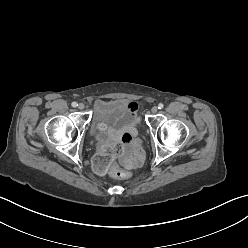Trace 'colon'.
<instances>
[{"label":"colon","mask_w":248,"mask_h":248,"mask_svg":"<svg viewBox=\"0 0 248 248\" xmlns=\"http://www.w3.org/2000/svg\"><path fill=\"white\" fill-rule=\"evenodd\" d=\"M95 132L98 135L97 141L100 144L101 153L96 154L91 159V164L97 174L106 177L109 174L117 179H125L130 176L129 172L117 164H112L115 159V153L118 152L122 144L119 140L110 141L107 135L108 128L105 124L100 123L96 126Z\"/></svg>","instance_id":"colon-1"}]
</instances>
